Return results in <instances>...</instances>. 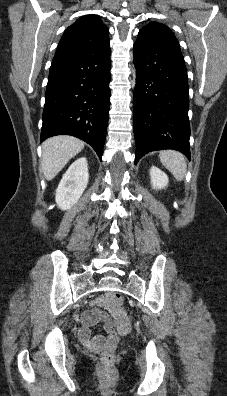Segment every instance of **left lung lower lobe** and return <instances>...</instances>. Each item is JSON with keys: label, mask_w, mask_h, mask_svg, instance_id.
<instances>
[{"label": "left lung lower lobe", "mask_w": 227, "mask_h": 396, "mask_svg": "<svg viewBox=\"0 0 227 396\" xmlns=\"http://www.w3.org/2000/svg\"><path fill=\"white\" fill-rule=\"evenodd\" d=\"M133 50L135 164L148 152L162 149H175L189 158V88L180 48L137 38Z\"/></svg>", "instance_id": "1"}]
</instances>
